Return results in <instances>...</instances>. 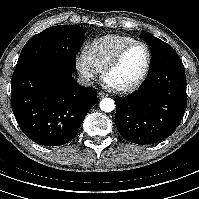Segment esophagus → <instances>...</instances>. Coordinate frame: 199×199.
Listing matches in <instances>:
<instances>
[{
	"instance_id": "34e87169",
	"label": "esophagus",
	"mask_w": 199,
	"mask_h": 199,
	"mask_svg": "<svg viewBox=\"0 0 199 199\" xmlns=\"http://www.w3.org/2000/svg\"><path fill=\"white\" fill-rule=\"evenodd\" d=\"M97 95H98V98H99V99H102V98H104V97L107 96V94L104 93V92H102V91H98V92H97Z\"/></svg>"
}]
</instances>
